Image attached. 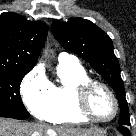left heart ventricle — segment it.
<instances>
[{
  "instance_id": "1",
  "label": "left heart ventricle",
  "mask_w": 136,
  "mask_h": 136,
  "mask_svg": "<svg viewBox=\"0 0 136 136\" xmlns=\"http://www.w3.org/2000/svg\"><path fill=\"white\" fill-rule=\"evenodd\" d=\"M90 107L98 118H109L114 110L113 102L109 94L103 89H97L91 97Z\"/></svg>"
}]
</instances>
